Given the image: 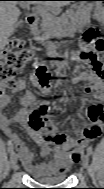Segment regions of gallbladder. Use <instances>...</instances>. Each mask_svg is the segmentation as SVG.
<instances>
[{
    "label": "gallbladder",
    "instance_id": "1",
    "mask_svg": "<svg viewBox=\"0 0 104 189\" xmlns=\"http://www.w3.org/2000/svg\"><path fill=\"white\" fill-rule=\"evenodd\" d=\"M20 5L24 9H29V6L27 4H25V3H21Z\"/></svg>",
    "mask_w": 104,
    "mask_h": 189
}]
</instances>
